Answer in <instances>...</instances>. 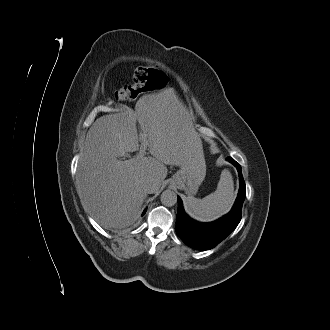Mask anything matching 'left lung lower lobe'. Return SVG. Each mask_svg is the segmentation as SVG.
I'll return each mask as SVG.
<instances>
[{
    "mask_svg": "<svg viewBox=\"0 0 330 330\" xmlns=\"http://www.w3.org/2000/svg\"><path fill=\"white\" fill-rule=\"evenodd\" d=\"M236 166L239 173L240 189L231 211L211 223H200L190 219L184 212L181 199L178 197V211L176 219V233L183 242L191 248L208 250L218 245L237 227L241 220L243 198L246 186L241 172V166L233 158H227Z\"/></svg>",
    "mask_w": 330,
    "mask_h": 330,
    "instance_id": "1",
    "label": "left lung lower lobe"
}]
</instances>
